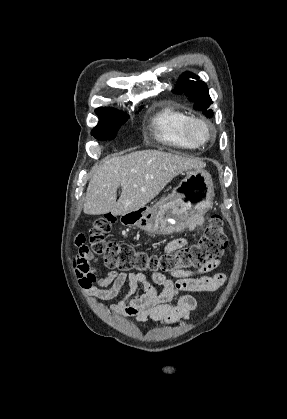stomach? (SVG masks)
<instances>
[{
  "mask_svg": "<svg viewBox=\"0 0 287 419\" xmlns=\"http://www.w3.org/2000/svg\"><path fill=\"white\" fill-rule=\"evenodd\" d=\"M214 197L212 177L206 170L194 169L152 207L144 206L121 214L120 222L148 234L170 235L193 226L211 207Z\"/></svg>",
  "mask_w": 287,
  "mask_h": 419,
  "instance_id": "1",
  "label": "stomach"
}]
</instances>
